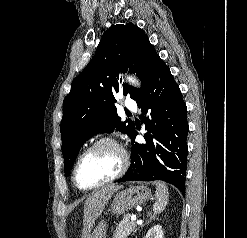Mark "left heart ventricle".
<instances>
[{
	"label": "left heart ventricle",
	"mask_w": 247,
	"mask_h": 238,
	"mask_svg": "<svg viewBox=\"0 0 247 238\" xmlns=\"http://www.w3.org/2000/svg\"><path fill=\"white\" fill-rule=\"evenodd\" d=\"M121 162L119 150L113 145L103 144L82 159L77 172L78 181L84 187L103 182L119 171Z\"/></svg>",
	"instance_id": "left-heart-ventricle-1"
}]
</instances>
